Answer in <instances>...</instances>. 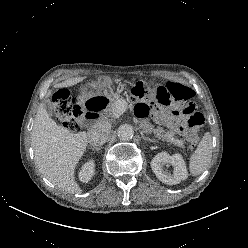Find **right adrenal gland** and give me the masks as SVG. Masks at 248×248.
<instances>
[{
  "mask_svg": "<svg viewBox=\"0 0 248 248\" xmlns=\"http://www.w3.org/2000/svg\"><path fill=\"white\" fill-rule=\"evenodd\" d=\"M89 148L92 149L93 151H99V150H101L100 147H92V146H90Z\"/></svg>",
  "mask_w": 248,
  "mask_h": 248,
  "instance_id": "obj_1",
  "label": "right adrenal gland"
}]
</instances>
